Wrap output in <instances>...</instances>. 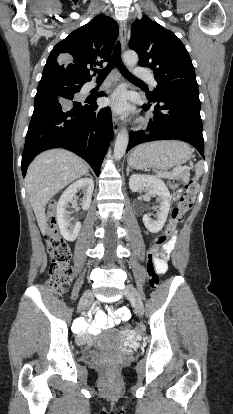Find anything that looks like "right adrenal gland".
<instances>
[{"label": "right adrenal gland", "instance_id": "2a0ac1e0", "mask_svg": "<svg viewBox=\"0 0 233 414\" xmlns=\"http://www.w3.org/2000/svg\"><path fill=\"white\" fill-rule=\"evenodd\" d=\"M86 176H90L89 171L86 173Z\"/></svg>", "mask_w": 233, "mask_h": 414}]
</instances>
